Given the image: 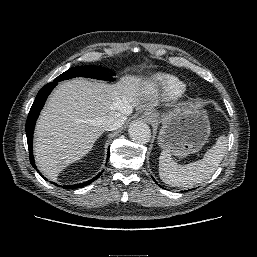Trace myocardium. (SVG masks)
<instances>
[{
    "label": "myocardium",
    "instance_id": "1",
    "mask_svg": "<svg viewBox=\"0 0 257 257\" xmlns=\"http://www.w3.org/2000/svg\"><path fill=\"white\" fill-rule=\"evenodd\" d=\"M182 104L186 105L190 103V99L189 98H185L181 101Z\"/></svg>",
    "mask_w": 257,
    "mask_h": 257
}]
</instances>
